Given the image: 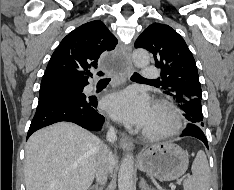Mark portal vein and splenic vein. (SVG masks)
<instances>
[{
    "mask_svg": "<svg viewBox=\"0 0 234 190\" xmlns=\"http://www.w3.org/2000/svg\"><path fill=\"white\" fill-rule=\"evenodd\" d=\"M175 188V186H171V189H174Z\"/></svg>",
    "mask_w": 234,
    "mask_h": 190,
    "instance_id": "1",
    "label": "portal vein and splenic vein"
}]
</instances>
